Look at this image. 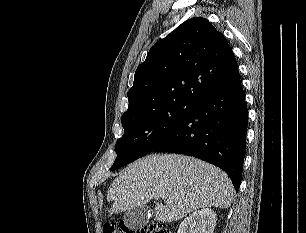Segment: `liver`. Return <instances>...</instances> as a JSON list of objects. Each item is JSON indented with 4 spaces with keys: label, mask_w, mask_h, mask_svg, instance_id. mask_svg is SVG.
Returning a JSON list of instances; mask_svg holds the SVG:
<instances>
[{
    "label": "liver",
    "mask_w": 306,
    "mask_h": 233,
    "mask_svg": "<svg viewBox=\"0 0 306 233\" xmlns=\"http://www.w3.org/2000/svg\"><path fill=\"white\" fill-rule=\"evenodd\" d=\"M234 187L225 172L199 159L179 154H153L139 159L113 180L107 199L112 213L156 202L155 220L172 222L204 207L227 209Z\"/></svg>",
    "instance_id": "liver-1"
}]
</instances>
